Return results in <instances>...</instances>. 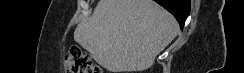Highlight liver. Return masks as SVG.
Listing matches in <instances>:
<instances>
[{"label": "liver", "instance_id": "1", "mask_svg": "<svg viewBox=\"0 0 244 73\" xmlns=\"http://www.w3.org/2000/svg\"><path fill=\"white\" fill-rule=\"evenodd\" d=\"M176 19L152 0H100L74 39L111 73L143 71L177 36Z\"/></svg>", "mask_w": 244, "mask_h": 73}]
</instances>
